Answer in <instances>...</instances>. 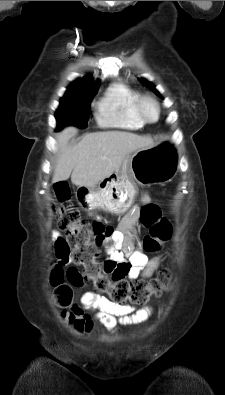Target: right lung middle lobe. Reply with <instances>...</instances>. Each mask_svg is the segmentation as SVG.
<instances>
[{
	"instance_id": "obj_1",
	"label": "right lung middle lobe",
	"mask_w": 225,
	"mask_h": 395,
	"mask_svg": "<svg viewBox=\"0 0 225 395\" xmlns=\"http://www.w3.org/2000/svg\"><path fill=\"white\" fill-rule=\"evenodd\" d=\"M95 94L77 95L66 93L56 111L57 129L67 125H75L80 128L87 127L89 103Z\"/></svg>"
}]
</instances>
